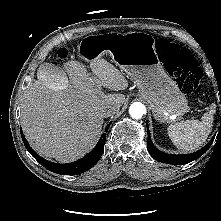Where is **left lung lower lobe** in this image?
<instances>
[{
	"label": "left lung lower lobe",
	"instance_id": "0a47b994",
	"mask_svg": "<svg viewBox=\"0 0 221 221\" xmlns=\"http://www.w3.org/2000/svg\"><path fill=\"white\" fill-rule=\"evenodd\" d=\"M221 121V118H220ZM147 125V131H148V151L150 155L157 161H160L162 163H168V164H173V165H182L186 164L189 162H192L193 160L199 158L201 155H203L211 146L214 138L201 150L191 153V154H185V155H171V154H166L161 151H159L155 146L153 145L151 141V136H150V131H149V126L148 122L146 123ZM220 129H221V124H220ZM219 129V130H220Z\"/></svg>",
	"mask_w": 221,
	"mask_h": 221
}]
</instances>
